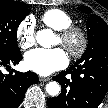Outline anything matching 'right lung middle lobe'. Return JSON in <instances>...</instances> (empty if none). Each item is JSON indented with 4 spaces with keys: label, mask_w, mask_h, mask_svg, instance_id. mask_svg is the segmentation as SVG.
Here are the masks:
<instances>
[{
    "label": "right lung middle lobe",
    "mask_w": 108,
    "mask_h": 108,
    "mask_svg": "<svg viewBox=\"0 0 108 108\" xmlns=\"http://www.w3.org/2000/svg\"><path fill=\"white\" fill-rule=\"evenodd\" d=\"M28 14V5L18 1H0V52H20L17 45V28Z\"/></svg>",
    "instance_id": "right-lung-middle-lobe-1"
}]
</instances>
